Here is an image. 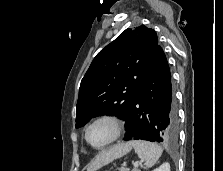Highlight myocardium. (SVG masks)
<instances>
[{
  "instance_id": "f54148a6",
  "label": "myocardium",
  "mask_w": 223,
  "mask_h": 171,
  "mask_svg": "<svg viewBox=\"0 0 223 171\" xmlns=\"http://www.w3.org/2000/svg\"><path fill=\"white\" fill-rule=\"evenodd\" d=\"M102 121H107L109 123H111L114 127V134L113 136L103 145L100 146H95L93 145L89 139H88V132L90 130V128L95 125L98 122H102ZM124 129V123L121 120V118H119L116 115L113 114H102L99 115L97 117H95L93 120H91L88 125L86 126L85 130H84V139L86 141V143L91 146L93 149L96 150H101L104 149L106 147H108L109 145H111L112 143H114L116 140H118V138L121 136L122 132Z\"/></svg>"
}]
</instances>
